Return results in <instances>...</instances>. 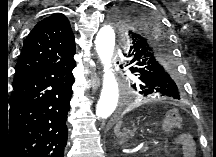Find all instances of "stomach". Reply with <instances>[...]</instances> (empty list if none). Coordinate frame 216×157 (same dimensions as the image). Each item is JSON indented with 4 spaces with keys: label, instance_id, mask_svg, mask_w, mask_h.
I'll return each instance as SVG.
<instances>
[{
    "label": "stomach",
    "instance_id": "stomach-1",
    "mask_svg": "<svg viewBox=\"0 0 216 157\" xmlns=\"http://www.w3.org/2000/svg\"><path fill=\"white\" fill-rule=\"evenodd\" d=\"M128 136H132V133L130 131H126L121 137H122V140L120 141V143H123L124 142V139Z\"/></svg>",
    "mask_w": 216,
    "mask_h": 157
}]
</instances>
